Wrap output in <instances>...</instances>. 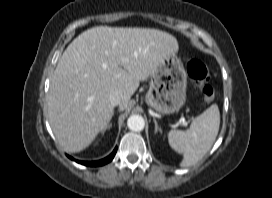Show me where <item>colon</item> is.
I'll return each mask as SVG.
<instances>
[{
	"instance_id": "5ec220e1",
	"label": "colon",
	"mask_w": 272,
	"mask_h": 198,
	"mask_svg": "<svg viewBox=\"0 0 272 198\" xmlns=\"http://www.w3.org/2000/svg\"><path fill=\"white\" fill-rule=\"evenodd\" d=\"M187 72L199 84L203 99L207 102L212 101L215 98V90L205 64L190 56L187 60Z\"/></svg>"
}]
</instances>
